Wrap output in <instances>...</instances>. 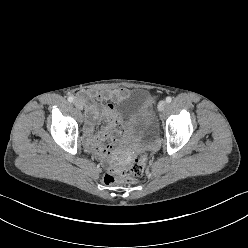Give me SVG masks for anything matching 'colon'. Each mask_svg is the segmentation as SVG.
I'll return each instance as SVG.
<instances>
[{
	"label": "colon",
	"instance_id": "5ec220e1",
	"mask_svg": "<svg viewBox=\"0 0 248 248\" xmlns=\"http://www.w3.org/2000/svg\"><path fill=\"white\" fill-rule=\"evenodd\" d=\"M148 155L142 154L137 158L129 168L118 171L110 170L103 175V182L107 185L114 184L118 181L132 183L141 177L144 173Z\"/></svg>",
	"mask_w": 248,
	"mask_h": 248
}]
</instances>
